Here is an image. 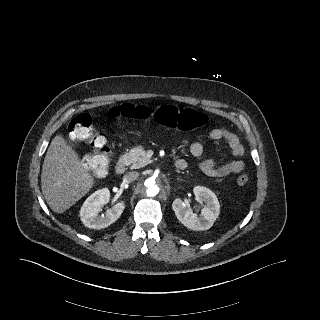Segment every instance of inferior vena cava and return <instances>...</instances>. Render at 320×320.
Listing matches in <instances>:
<instances>
[{
	"label": "inferior vena cava",
	"instance_id": "1",
	"mask_svg": "<svg viewBox=\"0 0 320 320\" xmlns=\"http://www.w3.org/2000/svg\"><path fill=\"white\" fill-rule=\"evenodd\" d=\"M138 177H139V173L136 171H132V172L125 174L123 180L127 181V182H132V181L136 180Z\"/></svg>",
	"mask_w": 320,
	"mask_h": 320
}]
</instances>
